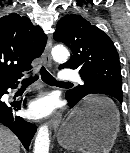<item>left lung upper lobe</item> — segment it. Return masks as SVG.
<instances>
[{
	"mask_svg": "<svg viewBox=\"0 0 130 153\" xmlns=\"http://www.w3.org/2000/svg\"><path fill=\"white\" fill-rule=\"evenodd\" d=\"M56 41L72 51L69 61L59 69H79L84 85L66 93L68 101L78 103L89 94H105L122 103V78L118 52L105 32L80 15L62 17L54 32Z\"/></svg>",
	"mask_w": 130,
	"mask_h": 153,
	"instance_id": "obj_1",
	"label": "left lung upper lobe"
}]
</instances>
